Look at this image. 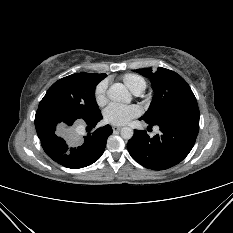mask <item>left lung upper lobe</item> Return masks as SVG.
<instances>
[{
    "mask_svg": "<svg viewBox=\"0 0 233 233\" xmlns=\"http://www.w3.org/2000/svg\"><path fill=\"white\" fill-rule=\"evenodd\" d=\"M151 79L154 97L147 112L141 117L155 124L188 101L196 100L187 82L174 71L159 67L133 70Z\"/></svg>",
    "mask_w": 233,
    "mask_h": 233,
    "instance_id": "obj_1",
    "label": "left lung upper lobe"
}]
</instances>
